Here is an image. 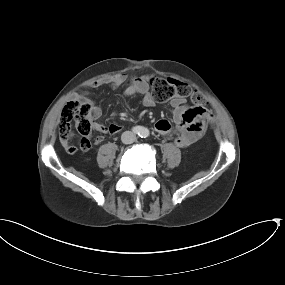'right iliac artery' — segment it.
<instances>
[{"mask_svg": "<svg viewBox=\"0 0 285 285\" xmlns=\"http://www.w3.org/2000/svg\"><path fill=\"white\" fill-rule=\"evenodd\" d=\"M132 130H133L134 133L142 135L143 129L141 127L136 126Z\"/></svg>", "mask_w": 285, "mask_h": 285, "instance_id": "obj_1", "label": "right iliac artery"}]
</instances>
